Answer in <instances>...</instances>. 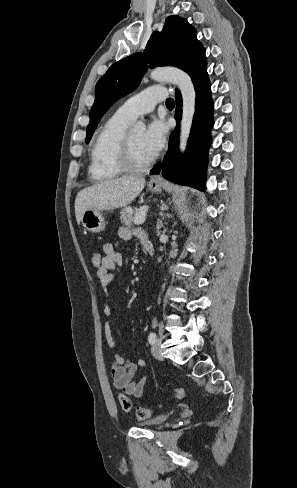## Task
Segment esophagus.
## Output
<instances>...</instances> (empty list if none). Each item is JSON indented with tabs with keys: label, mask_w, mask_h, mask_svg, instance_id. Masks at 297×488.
Masks as SVG:
<instances>
[{
	"label": "esophagus",
	"mask_w": 297,
	"mask_h": 488,
	"mask_svg": "<svg viewBox=\"0 0 297 488\" xmlns=\"http://www.w3.org/2000/svg\"><path fill=\"white\" fill-rule=\"evenodd\" d=\"M160 182H162V177L160 175H157L150 180L151 185L158 184Z\"/></svg>",
	"instance_id": "34e87169"
}]
</instances>
